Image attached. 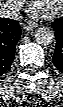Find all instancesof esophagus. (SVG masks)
Masks as SVG:
<instances>
[{"instance_id":"1","label":"esophagus","mask_w":63,"mask_h":107,"mask_svg":"<svg viewBox=\"0 0 63 107\" xmlns=\"http://www.w3.org/2000/svg\"><path fill=\"white\" fill-rule=\"evenodd\" d=\"M37 26H38L37 23L32 22V21H28V22H26V23L24 24L23 28H24L25 30H33V29H35Z\"/></svg>"}]
</instances>
